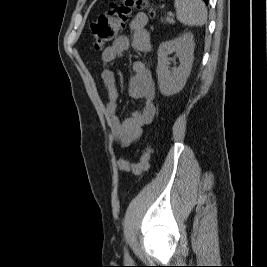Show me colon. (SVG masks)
Here are the masks:
<instances>
[{"instance_id": "5ec220e1", "label": "colon", "mask_w": 267, "mask_h": 267, "mask_svg": "<svg viewBox=\"0 0 267 267\" xmlns=\"http://www.w3.org/2000/svg\"><path fill=\"white\" fill-rule=\"evenodd\" d=\"M135 7H148L151 12L153 8L150 7L145 0H123L122 2H113L107 13L100 15L91 24L94 34V46L97 50H101L111 42L122 29L125 21ZM151 148L147 146L138 162L133 163L125 159H119L117 164L120 170L134 175H140L149 167V159Z\"/></svg>"}]
</instances>
